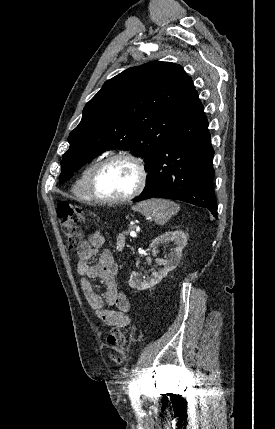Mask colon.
<instances>
[{"label":"colon","mask_w":275,"mask_h":429,"mask_svg":"<svg viewBox=\"0 0 275 429\" xmlns=\"http://www.w3.org/2000/svg\"><path fill=\"white\" fill-rule=\"evenodd\" d=\"M57 217L60 221L61 229L66 237L67 246L71 250L78 249L82 244V229L81 225L85 222L84 213L73 207L68 202H59L57 204ZM127 334L120 326L114 325L108 336L107 342L110 346L122 348L127 343ZM110 359L114 363H120L121 358L111 355Z\"/></svg>","instance_id":"1"}]
</instances>
